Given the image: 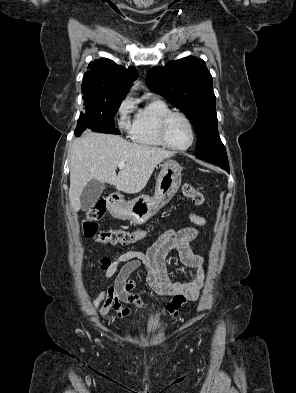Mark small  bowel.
<instances>
[{
	"label": "small bowel",
	"mask_w": 296,
	"mask_h": 393,
	"mask_svg": "<svg viewBox=\"0 0 296 393\" xmlns=\"http://www.w3.org/2000/svg\"><path fill=\"white\" fill-rule=\"evenodd\" d=\"M188 217L194 227L165 231L146 253L128 251L115 259L103 257L100 260V268L106 278H111L117 273L113 283L94 299L95 306L102 304L101 315L106 321L114 322L107 315L110 309L117 312L119 319L130 317L131 311L123 307L124 303L146 308L143 298L134 292L135 282L130 280V275L138 269L144 270L146 282L157 295L172 297L163 311L164 315L172 320L179 316L181 308L186 303L187 307H190L198 298L205 275L204 258L192 251L191 242L199 235L198 227L206 224V218L195 213H189ZM172 250L177 251L184 265L196 269V275L191 281L173 283L169 280L165 258Z\"/></svg>",
	"instance_id": "obj_1"
}]
</instances>
